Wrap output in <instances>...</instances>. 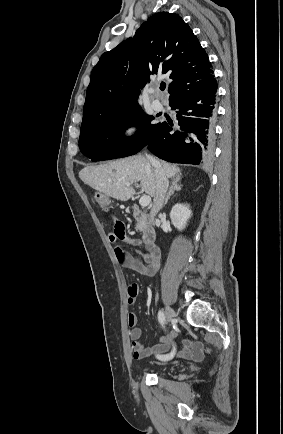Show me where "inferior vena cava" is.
<instances>
[{"label":"inferior vena cava","instance_id":"obj_1","mask_svg":"<svg viewBox=\"0 0 283 434\" xmlns=\"http://www.w3.org/2000/svg\"><path fill=\"white\" fill-rule=\"evenodd\" d=\"M146 156L154 168V173L156 178V193L153 199V206L150 212L151 219L153 220L164 204L165 195L168 190L169 182L160 162L149 155Z\"/></svg>","mask_w":283,"mask_h":434}]
</instances>
